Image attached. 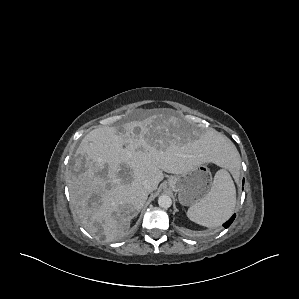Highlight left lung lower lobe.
I'll return each instance as SVG.
<instances>
[{"label": "left lung lower lobe", "mask_w": 299, "mask_h": 299, "mask_svg": "<svg viewBox=\"0 0 299 299\" xmlns=\"http://www.w3.org/2000/svg\"><path fill=\"white\" fill-rule=\"evenodd\" d=\"M243 185H244V180H243ZM235 217L236 215L234 214L226 223L223 224V226L225 228H228L231 225V223L234 221Z\"/></svg>", "instance_id": "1"}]
</instances>
